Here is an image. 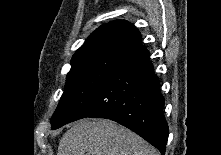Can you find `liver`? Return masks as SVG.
Returning a JSON list of instances; mask_svg holds the SVG:
<instances>
[{
  "mask_svg": "<svg viewBox=\"0 0 221 155\" xmlns=\"http://www.w3.org/2000/svg\"><path fill=\"white\" fill-rule=\"evenodd\" d=\"M57 155H159V152L111 120L82 119L62 136Z\"/></svg>",
  "mask_w": 221,
  "mask_h": 155,
  "instance_id": "liver-1",
  "label": "liver"
}]
</instances>
